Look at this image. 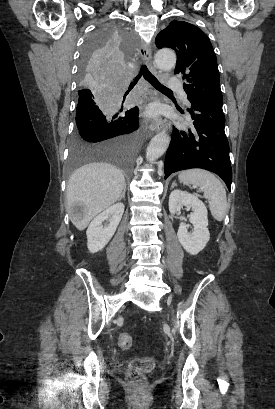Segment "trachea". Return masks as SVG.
Masks as SVG:
<instances>
[{
  "label": "trachea",
  "instance_id": "trachea-1",
  "mask_svg": "<svg viewBox=\"0 0 275 409\" xmlns=\"http://www.w3.org/2000/svg\"><path fill=\"white\" fill-rule=\"evenodd\" d=\"M143 75V77L145 78V80H147L149 83H151V85H153L154 88H156L157 90L160 91H165V92H172V90H170V88L165 87V85H162L156 77H154V75H152L151 72H149L148 68L143 65L140 69L139 74L137 75V77H135L134 81L131 82L129 89L127 90V92L125 93L124 97H126V95L130 92V90L134 87V85H136V83L138 82V80L141 78V76Z\"/></svg>",
  "mask_w": 275,
  "mask_h": 409
}]
</instances>
